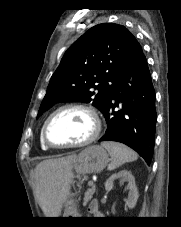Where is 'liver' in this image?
Wrapping results in <instances>:
<instances>
[{
	"instance_id": "6515ba94",
	"label": "liver",
	"mask_w": 181,
	"mask_h": 227,
	"mask_svg": "<svg viewBox=\"0 0 181 227\" xmlns=\"http://www.w3.org/2000/svg\"><path fill=\"white\" fill-rule=\"evenodd\" d=\"M77 156L49 159L40 162L35 169L36 192L41 209L47 217H58L70 195L74 177L72 167Z\"/></svg>"
}]
</instances>
